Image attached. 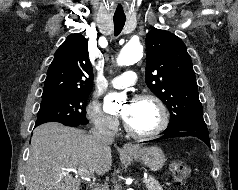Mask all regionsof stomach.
<instances>
[{
  "label": "stomach",
  "mask_w": 238,
  "mask_h": 190,
  "mask_svg": "<svg viewBox=\"0 0 238 190\" xmlns=\"http://www.w3.org/2000/svg\"><path fill=\"white\" fill-rule=\"evenodd\" d=\"M127 156L142 162L152 171L160 170L166 162L165 155L159 147H139L134 152L126 153Z\"/></svg>",
  "instance_id": "stomach-1"
}]
</instances>
